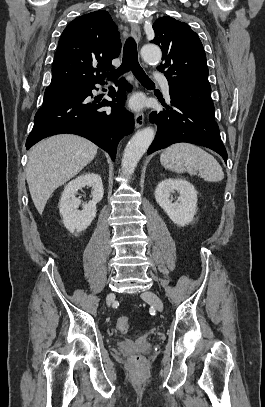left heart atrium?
<instances>
[{"label":"left heart atrium","instance_id":"obj_1","mask_svg":"<svg viewBox=\"0 0 265 407\" xmlns=\"http://www.w3.org/2000/svg\"><path fill=\"white\" fill-rule=\"evenodd\" d=\"M131 106L133 107V108H139L140 106H141V102H140V100L139 99H137V98H135V99H133L132 101H131Z\"/></svg>","mask_w":265,"mask_h":407}]
</instances>
